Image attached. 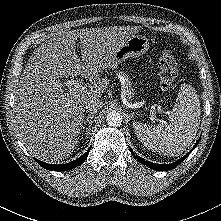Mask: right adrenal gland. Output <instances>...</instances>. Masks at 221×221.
I'll return each mask as SVG.
<instances>
[{"mask_svg": "<svg viewBox=\"0 0 221 221\" xmlns=\"http://www.w3.org/2000/svg\"><path fill=\"white\" fill-rule=\"evenodd\" d=\"M95 113H96V112L90 113V114L86 117V119L84 120V122H83V124H82V126H81V128H83V130H84V129H85V125L88 123L89 129H88V131H87V134L90 133V129H91L92 122H93L92 119H93Z\"/></svg>", "mask_w": 221, "mask_h": 221, "instance_id": "right-adrenal-gland-1", "label": "right adrenal gland"}]
</instances>
